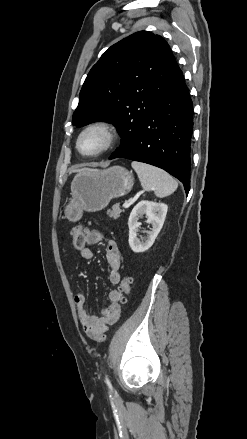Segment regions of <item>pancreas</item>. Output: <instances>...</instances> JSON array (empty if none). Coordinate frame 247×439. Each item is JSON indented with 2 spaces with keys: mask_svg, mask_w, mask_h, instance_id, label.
I'll return each instance as SVG.
<instances>
[{
  "mask_svg": "<svg viewBox=\"0 0 247 439\" xmlns=\"http://www.w3.org/2000/svg\"><path fill=\"white\" fill-rule=\"evenodd\" d=\"M122 212H124V209H121V208L119 207V204H115V205L112 207V209H109V210L107 211V214H108L109 218L117 219V218L120 217V214H121Z\"/></svg>",
  "mask_w": 247,
  "mask_h": 439,
  "instance_id": "cf45deb5",
  "label": "pancreas"
}]
</instances>
